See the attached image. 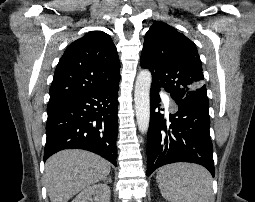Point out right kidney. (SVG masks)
<instances>
[{
    "label": "right kidney",
    "instance_id": "1",
    "mask_svg": "<svg viewBox=\"0 0 255 202\" xmlns=\"http://www.w3.org/2000/svg\"><path fill=\"white\" fill-rule=\"evenodd\" d=\"M110 187L96 184L81 191L72 202H110Z\"/></svg>",
    "mask_w": 255,
    "mask_h": 202
}]
</instances>
